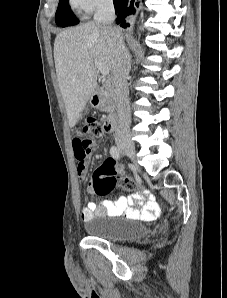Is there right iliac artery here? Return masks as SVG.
<instances>
[{"label":"right iliac artery","mask_w":227,"mask_h":298,"mask_svg":"<svg viewBox=\"0 0 227 298\" xmlns=\"http://www.w3.org/2000/svg\"><path fill=\"white\" fill-rule=\"evenodd\" d=\"M110 154L114 159L120 158V152L116 146H112L110 149Z\"/></svg>","instance_id":"1"}]
</instances>
